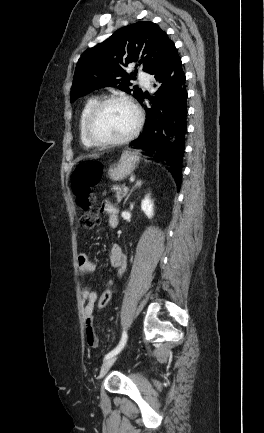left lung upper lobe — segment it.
<instances>
[{"label": "left lung upper lobe", "mask_w": 264, "mask_h": 433, "mask_svg": "<svg viewBox=\"0 0 264 433\" xmlns=\"http://www.w3.org/2000/svg\"><path fill=\"white\" fill-rule=\"evenodd\" d=\"M168 35L153 22H137L117 30L110 38L86 50L79 59L73 78L71 101L98 88L111 86L132 93L139 101L141 89L130 88L137 70L125 71L134 63L151 74L175 50Z\"/></svg>", "instance_id": "5c2ea615"}]
</instances>
